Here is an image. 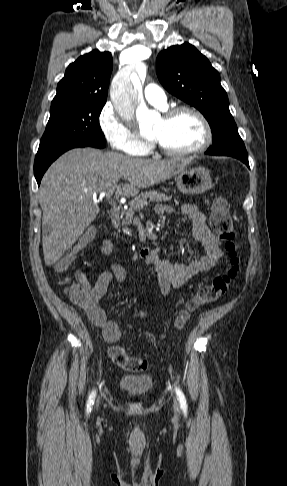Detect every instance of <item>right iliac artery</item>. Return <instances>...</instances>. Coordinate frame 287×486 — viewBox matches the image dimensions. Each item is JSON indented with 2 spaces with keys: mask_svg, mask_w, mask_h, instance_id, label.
<instances>
[{
  "mask_svg": "<svg viewBox=\"0 0 287 486\" xmlns=\"http://www.w3.org/2000/svg\"><path fill=\"white\" fill-rule=\"evenodd\" d=\"M96 392L93 391L89 397L88 403H87V412L91 411V406L94 403V398H95Z\"/></svg>",
  "mask_w": 287,
  "mask_h": 486,
  "instance_id": "obj_1",
  "label": "right iliac artery"
}]
</instances>
